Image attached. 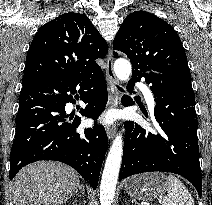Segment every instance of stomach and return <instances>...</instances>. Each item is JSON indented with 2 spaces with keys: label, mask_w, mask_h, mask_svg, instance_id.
I'll list each match as a JSON object with an SVG mask.
<instances>
[{
  "label": "stomach",
  "mask_w": 212,
  "mask_h": 205,
  "mask_svg": "<svg viewBox=\"0 0 212 205\" xmlns=\"http://www.w3.org/2000/svg\"><path fill=\"white\" fill-rule=\"evenodd\" d=\"M167 189V179L163 174H143L129 178L125 191L133 200H153L161 197Z\"/></svg>",
  "instance_id": "1"
}]
</instances>
